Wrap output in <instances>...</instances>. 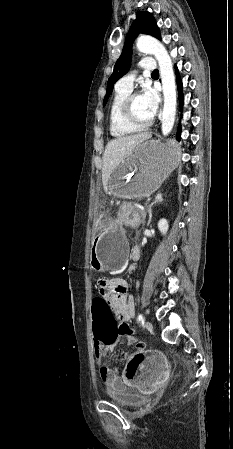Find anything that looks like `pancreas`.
<instances>
[{
	"mask_svg": "<svg viewBox=\"0 0 233 449\" xmlns=\"http://www.w3.org/2000/svg\"><path fill=\"white\" fill-rule=\"evenodd\" d=\"M146 213L145 211L127 204L125 209H121L118 215V219L132 227H137L143 224L145 221Z\"/></svg>",
	"mask_w": 233,
	"mask_h": 449,
	"instance_id": "obj_1",
	"label": "pancreas"
}]
</instances>
